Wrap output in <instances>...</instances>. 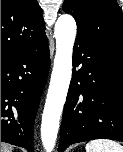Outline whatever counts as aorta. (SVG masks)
<instances>
[{
  "instance_id": "762f6f07",
  "label": "aorta",
  "mask_w": 123,
  "mask_h": 152,
  "mask_svg": "<svg viewBox=\"0 0 123 152\" xmlns=\"http://www.w3.org/2000/svg\"><path fill=\"white\" fill-rule=\"evenodd\" d=\"M76 31V22L72 16L64 14L58 18L55 24L56 54L41 123V140L47 152H52L55 146L71 81Z\"/></svg>"
}]
</instances>
